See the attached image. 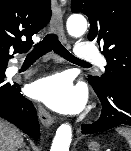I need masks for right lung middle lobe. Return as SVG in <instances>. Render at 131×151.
Listing matches in <instances>:
<instances>
[{
	"mask_svg": "<svg viewBox=\"0 0 131 151\" xmlns=\"http://www.w3.org/2000/svg\"><path fill=\"white\" fill-rule=\"evenodd\" d=\"M6 64L0 63V77L5 76Z\"/></svg>",
	"mask_w": 131,
	"mask_h": 151,
	"instance_id": "1",
	"label": "right lung middle lobe"
}]
</instances>
